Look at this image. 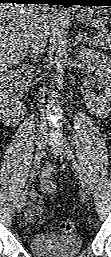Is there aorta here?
<instances>
[{
	"label": "aorta",
	"instance_id": "762f6f07",
	"mask_svg": "<svg viewBox=\"0 0 111 257\" xmlns=\"http://www.w3.org/2000/svg\"><path fill=\"white\" fill-rule=\"evenodd\" d=\"M57 39H58V47L56 50V57H55V63H56V72H57V82L59 86H62L63 83V66L65 63V59L67 57V46H66V35L63 30H60L57 33Z\"/></svg>",
	"mask_w": 111,
	"mask_h": 257
}]
</instances>
